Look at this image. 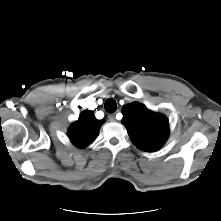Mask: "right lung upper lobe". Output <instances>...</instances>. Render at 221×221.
Masks as SVG:
<instances>
[{"label":"right lung upper lobe","instance_id":"cb5924a9","mask_svg":"<svg viewBox=\"0 0 221 221\" xmlns=\"http://www.w3.org/2000/svg\"><path fill=\"white\" fill-rule=\"evenodd\" d=\"M103 122V120H97L92 111H84L71 125L68 136L74 145L83 148L97 138Z\"/></svg>","mask_w":221,"mask_h":221}]
</instances>
